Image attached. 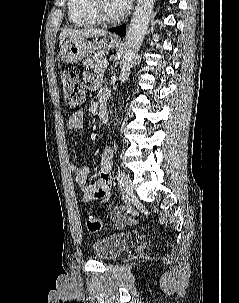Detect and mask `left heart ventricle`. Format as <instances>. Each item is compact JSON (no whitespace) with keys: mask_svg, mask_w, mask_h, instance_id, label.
I'll return each mask as SVG.
<instances>
[{"mask_svg":"<svg viewBox=\"0 0 239 303\" xmlns=\"http://www.w3.org/2000/svg\"><path fill=\"white\" fill-rule=\"evenodd\" d=\"M102 3L106 11L111 15H117L122 12V10L114 3L113 0H102Z\"/></svg>","mask_w":239,"mask_h":303,"instance_id":"1","label":"left heart ventricle"}]
</instances>
